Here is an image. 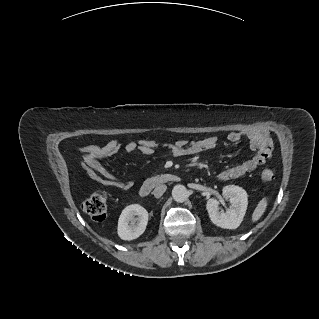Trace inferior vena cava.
<instances>
[{
	"label": "inferior vena cava",
	"mask_w": 319,
	"mask_h": 319,
	"mask_svg": "<svg viewBox=\"0 0 319 319\" xmlns=\"http://www.w3.org/2000/svg\"><path fill=\"white\" fill-rule=\"evenodd\" d=\"M166 189H167V186L165 184L158 185L155 187L153 191V195L155 196V198H160L164 194Z\"/></svg>",
	"instance_id": "602c4592"
}]
</instances>
